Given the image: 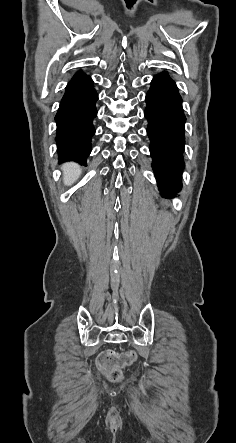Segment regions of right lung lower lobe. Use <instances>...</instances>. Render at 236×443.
<instances>
[{
	"label": "right lung lower lobe",
	"mask_w": 236,
	"mask_h": 443,
	"mask_svg": "<svg viewBox=\"0 0 236 443\" xmlns=\"http://www.w3.org/2000/svg\"><path fill=\"white\" fill-rule=\"evenodd\" d=\"M97 99L92 79L82 71L77 72L67 84L55 116L60 162L86 164L92 149L91 138L95 133L92 121L97 115Z\"/></svg>",
	"instance_id": "1"
}]
</instances>
